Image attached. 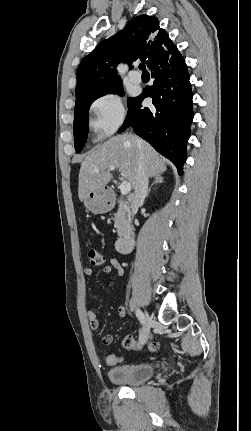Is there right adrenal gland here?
<instances>
[{"mask_svg": "<svg viewBox=\"0 0 251 431\" xmlns=\"http://www.w3.org/2000/svg\"><path fill=\"white\" fill-rule=\"evenodd\" d=\"M163 182H164V179H163V177L161 175H155L153 183L150 185V187L147 190L146 197L149 196V193H150L151 188L153 187V185H155V184H161Z\"/></svg>", "mask_w": 251, "mask_h": 431, "instance_id": "right-adrenal-gland-1", "label": "right adrenal gland"}]
</instances>
